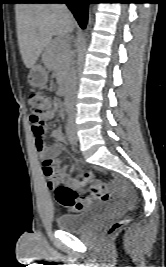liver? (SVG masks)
Here are the masks:
<instances>
[{"mask_svg":"<svg viewBox=\"0 0 166 267\" xmlns=\"http://www.w3.org/2000/svg\"><path fill=\"white\" fill-rule=\"evenodd\" d=\"M15 13L19 50L27 68L35 65L54 35L65 36L75 27L70 12L58 4L19 3Z\"/></svg>","mask_w":166,"mask_h":267,"instance_id":"6515ba94","label":"liver"}]
</instances>
